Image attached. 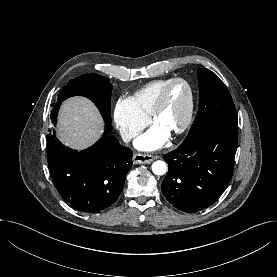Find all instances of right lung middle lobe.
Segmentation results:
<instances>
[{
  "label": "right lung middle lobe",
  "instance_id": "right-lung-middle-lobe-1",
  "mask_svg": "<svg viewBox=\"0 0 277 277\" xmlns=\"http://www.w3.org/2000/svg\"><path fill=\"white\" fill-rule=\"evenodd\" d=\"M112 85L109 79L97 74H85L70 80L63 87L54 108L59 109L61 102L66 98L81 95L89 98L99 109L104 121L111 122V91Z\"/></svg>",
  "mask_w": 277,
  "mask_h": 277
}]
</instances>
